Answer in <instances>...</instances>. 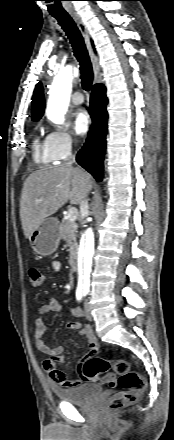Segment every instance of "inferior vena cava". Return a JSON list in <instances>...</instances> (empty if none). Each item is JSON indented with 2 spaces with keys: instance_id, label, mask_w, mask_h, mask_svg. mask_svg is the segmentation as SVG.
Instances as JSON below:
<instances>
[{
  "instance_id": "inferior-vena-cava-1",
  "label": "inferior vena cava",
  "mask_w": 174,
  "mask_h": 440,
  "mask_svg": "<svg viewBox=\"0 0 174 440\" xmlns=\"http://www.w3.org/2000/svg\"><path fill=\"white\" fill-rule=\"evenodd\" d=\"M74 162H75V156H72L67 160L66 165L71 166ZM80 212H81V218L84 223V218L87 217L89 214L88 199L86 197L80 203Z\"/></svg>"
}]
</instances>
